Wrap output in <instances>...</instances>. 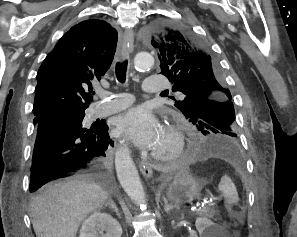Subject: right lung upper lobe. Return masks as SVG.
Instances as JSON below:
<instances>
[{
  "instance_id": "cb5924a9",
  "label": "right lung upper lobe",
  "mask_w": 297,
  "mask_h": 237,
  "mask_svg": "<svg viewBox=\"0 0 297 237\" xmlns=\"http://www.w3.org/2000/svg\"><path fill=\"white\" fill-rule=\"evenodd\" d=\"M117 38L102 20L73 26L38 70L34 121L53 112H84L92 101V83L101 80L113 60Z\"/></svg>"
}]
</instances>
